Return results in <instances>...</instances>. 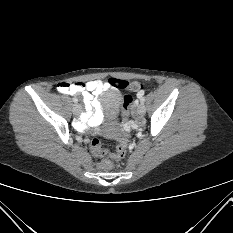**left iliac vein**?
<instances>
[{
	"instance_id": "obj_1",
	"label": "left iliac vein",
	"mask_w": 233,
	"mask_h": 233,
	"mask_svg": "<svg viewBox=\"0 0 233 233\" xmlns=\"http://www.w3.org/2000/svg\"><path fill=\"white\" fill-rule=\"evenodd\" d=\"M145 112H146L145 105L143 103H140L137 107V114L139 116H144Z\"/></svg>"
}]
</instances>
